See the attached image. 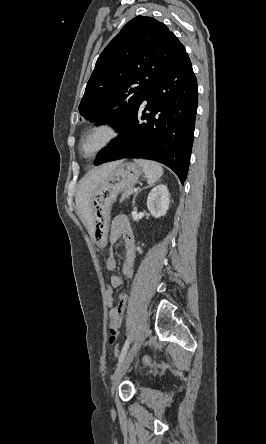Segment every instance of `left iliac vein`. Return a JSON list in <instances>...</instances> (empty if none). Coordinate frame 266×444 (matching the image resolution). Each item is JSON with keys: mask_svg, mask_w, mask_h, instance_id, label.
<instances>
[{"mask_svg": "<svg viewBox=\"0 0 266 444\" xmlns=\"http://www.w3.org/2000/svg\"><path fill=\"white\" fill-rule=\"evenodd\" d=\"M149 334V324L148 322H144L138 336L136 337L133 346L129 350L128 354L124 357L122 362L119 364L118 369L116 370L115 374L112 378V386H111V395L112 397L115 396V393L117 391L118 385L121 382L122 378L126 374L129 366L131 365L133 359L137 355L140 347L142 346L145 338Z\"/></svg>", "mask_w": 266, "mask_h": 444, "instance_id": "left-iliac-vein-1", "label": "left iliac vein"}]
</instances>
